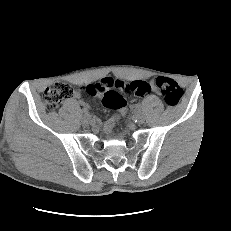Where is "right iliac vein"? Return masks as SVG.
I'll return each mask as SVG.
<instances>
[{"label":"right iliac vein","mask_w":231,"mask_h":231,"mask_svg":"<svg viewBox=\"0 0 231 231\" xmlns=\"http://www.w3.org/2000/svg\"><path fill=\"white\" fill-rule=\"evenodd\" d=\"M83 123L84 124H90L91 123V117L89 115H84Z\"/></svg>","instance_id":"obj_1"}]
</instances>
